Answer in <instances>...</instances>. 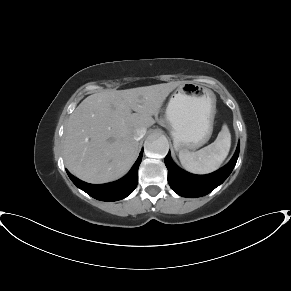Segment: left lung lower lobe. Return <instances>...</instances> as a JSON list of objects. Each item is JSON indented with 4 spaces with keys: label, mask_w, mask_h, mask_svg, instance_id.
Listing matches in <instances>:
<instances>
[{
    "label": "left lung lower lobe",
    "mask_w": 291,
    "mask_h": 291,
    "mask_svg": "<svg viewBox=\"0 0 291 291\" xmlns=\"http://www.w3.org/2000/svg\"><path fill=\"white\" fill-rule=\"evenodd\" d=\"M240 144L230 162L223 168L207 175H194L178 168L172 161L170 152L165 157L168 169V182L170 187L183 197H201L222 184L232 172L239 156Z\"/></svg>",
    "instance_id": "left-lung-lower-lobe-1"
}]
</instances>
